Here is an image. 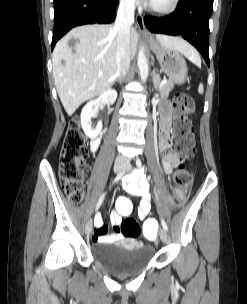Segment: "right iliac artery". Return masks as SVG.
<instances>
[{
  "instance_id": "1",
  "label": "right iliac artery",
  "mask_w": 247,
  "mask_h": 304,
  "mask_svg": "<svg viewBox=\"0 0 247 304\" xmlns=\"http://www.w3.org/2000/svg\"><path fill=\"white\" fill-rule=\"evenodd\" d=\"M125 172H126V170H123L122 172H120V173L116 176V178L114 179V183H115V182H118L121 178L123 179V181L126 180V179H128L130 176H125V177H123L124 174H125ZM103 198H104V195L100 198V200H99V202H98V204H97V208L101 205Z\"/></svg>"
}]
</instances>
